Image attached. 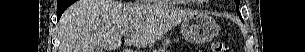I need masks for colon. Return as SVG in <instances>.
Here are the masks:
<instances>
[{"label": "colon", "instance_id": "1", "mask_svg": "<svg viewBox=\"0 0 305 52\" xmlns=\"http://www.w3.org/2000/svg\"><path fill=\"white\" fill-rule=\"evenodd\" d=\"M213 52H229V47L222 41H214L211 45Z\"/></svg>", "mask_w": 305, "mask_h": 52}]
</instances>
